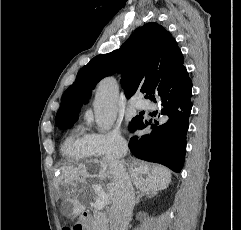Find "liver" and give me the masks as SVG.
<instances>
[{
    "instance_id": "6515ba94",
    "label": "liver",
    "mask_w": 241,
    "mask_h": 230,
    "mask_svg": "<svg viewBox=\"0 0 241 230\" xmlns=\"http://www.w3.org/2000/svg\"><path fill=\"white\" fill-rule=\"evenodd\" d=\"M131 162L134 167L129 168L130 178L140 191L156 194L169 186L171 172L167 168L163 166L150 167L148 164L135 159H132ZM62 174L66 182L73 186L71 196L67 197V202L74 217L85 211V206L80 202V194L90 188L95 190L99 187L103 192L105 190L104 193L108 196V201L112 202L114 185L109 164L106 160H95L93 172L89 170L86 164H80L78 167L68 166L62 168ZM78 184H81V187ZM69 210L67 207L65 214H68Z\"/></svg>"
}]
</instances>
